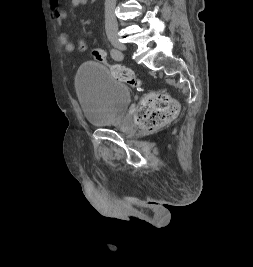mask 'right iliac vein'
I'll return each mask as SVG.
<instances>
[{
	"label": "right iliac vein",
	"instance_id": "1",
	"mask_svg": "<svg viewBox=\"0 0 253 267\" xmlns=\"http://www.w3.org/2000/svg\"><path fill=\"white\" fill-rule=\"evenodd\" d=\"M109 40L115 48L125 50L126 46L120 43L116 36L111 37Z\"/></svg>",
	"mask_w": 253,
	"mask_h": 267
}]
</instances>
